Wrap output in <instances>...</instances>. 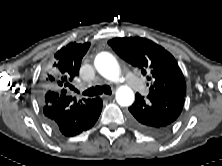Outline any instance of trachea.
<instances>
[{
	"instance_id": "1",
	"label": "trachea",
	"mask_w": 222,
	"mask_h": 166,
	"mask_svg": "<svg viewBox=\"0 0 222 166\" xmlns=\"http://www.w3.org/2000/svg\"><path fill=\"white\" fill-rule=\"evenodd\" d=\"M77 92V90H75ZM108 94L110 95L112 93L110 86L108 85H103V86H96V87H91L84 91L82 94L85 96H96V95H101V94Z\"/></svg>"
}]
</instances>
